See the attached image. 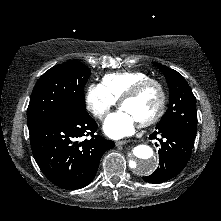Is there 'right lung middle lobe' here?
<instances>
[{"label": "right lung middle lobe", "mask_w": 221, "mask_h": 221, "mask_svg": "<svg viewBox=\"0 0 221 221\" xmlns=\"http://www.w3.org/2000/svg\"><path fill=\"white\" fill-rule=\"evenodd\" d=\"M90 74V69L79 61H68L46 71L30 98L29 131L59 122L74 111H86L84 86Z\"/></svg>", "instance_id": "1"}]
</instances>
